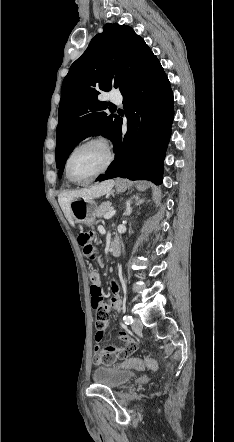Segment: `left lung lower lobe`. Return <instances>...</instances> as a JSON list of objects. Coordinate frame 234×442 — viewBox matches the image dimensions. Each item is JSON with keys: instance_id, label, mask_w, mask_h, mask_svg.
Wrapping results in <instances>:
<instances>
[{"instance_id": "1", "label": "left lung lower lobe", "mask_w": 234, "mask_h": 442, "mask_svg": "<svg viewBox=\"0 0 234 442\" xmlns=\"http://www.w3.org/2000/svg\"><path fill=\"white\" fill-rule=\"evenodd\" d=\"M121 94L127 132L122 135L120 118L113 142L115 160L96 181L122 177L161 184L174 118V100L170 82L153 53L141 73Z\"/></svg>"}]
</instances>
